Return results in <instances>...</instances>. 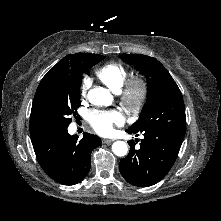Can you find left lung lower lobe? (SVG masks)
Wrapping results in <instances>:
<instances>
[{
	"label": "left lung lower lobe",
	"mask_w": 221,
	"mask_h": 221,
	"mask_svg": "<svg viewBox=\"0 0 221 221\" xmlns=\"http://www.w3.org/2000/svg\"><path fill=\"white\" fill-rule=\"evenodd\" d=\"M181 126L186 125L185 120L180 121ZM186 131V126H185ZM185 131L167 130L137 131L127 129L126 132L143 133L140 148L135 149L134 141H129V154L120 161L119 170L124 179L138 187H148L159 182L174 164Z\"/></svg>",
	"instance_id": "obj_1"
}]
</instances>
